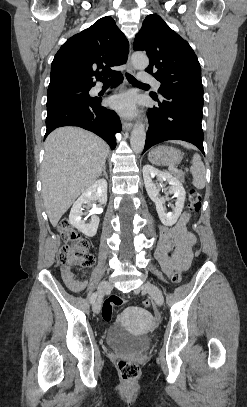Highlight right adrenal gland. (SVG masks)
<instances>
[{"label": "right adrenal gland", "mask_w": 247, "mask_h": 407, "mask_svg": "<svg viewBox=\"0 0 247 407\" xmlns=\"http://www.w3.org/2000/svg\"><path fill=\"white\" fill-rule=\"evenodd\" d=\"M101 176H105V178H108L107 172H106V167H104L103 169V174H101Z\"/></svg>", "instance_id": "1"}]
</instances>
